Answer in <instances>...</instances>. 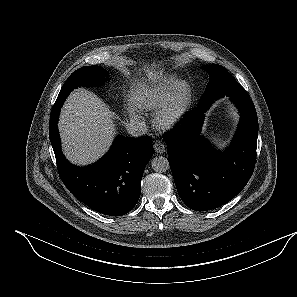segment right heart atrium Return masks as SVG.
Masks as SVG:
<instances>
[{
    "mask_svg": "<svg viewBox=\"0 0 297 297\" xmlns=\"http://www.w3.org/2000/svg\"><path fill=\"white\" fill-rule=\"evenodd\" d=\"M128 114L131 117V119L135 120V121H139L141 116L139 114V112L133 107V106H128L127 108Z\"/></svg>",
    "mask_w": 297,
    "mask_h": 297,
    "instance_id": "d8ad5b80",
    "label": "right heart atrium"
}]
</instances>
